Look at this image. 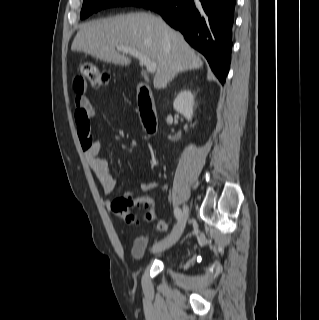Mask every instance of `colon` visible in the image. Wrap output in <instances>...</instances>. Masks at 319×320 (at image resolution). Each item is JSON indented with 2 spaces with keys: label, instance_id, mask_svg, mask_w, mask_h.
<instances>
[{
  "label": "colon",
  "instance_id": "5ec220e1",
  "mask_svg": "<svg viewBox=\"0 0 319 320\" xmlns=\"http://www.w3.org/2000/svg\"><path fill=\"white\" fill-rule=\"evenodd\" d=\"M110 78L111 75L109 71L100 69L94 62L85 61L80 65L79 75L75 79V85L78 88H82L83 86L90 84L94 88H99L107 85L110 82ZM79 131L84 136L86 142L90 143L93 136L91 133L90 120L85 115L82 117ZM142 202L143 200L141 198L120 197L112 201L111 209L116 215L122 217L127 224H135L138 219L133 214L132 208L140 206ZM145 219L148 222L155 221L159 231H166L168 229L166 222L155 218L154 211L153 213L146 211Z\"/></svg>",
  "mask_w": 319,
  "mask_h": 320
}]
</instances>
